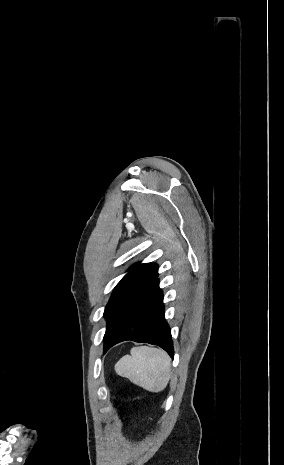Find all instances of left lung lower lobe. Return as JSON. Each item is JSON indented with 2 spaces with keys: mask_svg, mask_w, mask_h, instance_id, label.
<instances>
[{
  "mask_svg": "<svg viewBox=\"0 0 284 465\" xmlns=\"http://www.w3.org/2000/svg\"><path fill=\"white\" fill-rule=\"evenodd\" d=\"M126 340L157 345L173 358V342L164 317L163 293L157 278L118 314L104 338V354Z\"/></svg>",
  "mask_w": 284,
  "mask_h": 465,
  "instance_id": "obj_1",
  "label": "left lung lower lobe"
}]
</instances>
